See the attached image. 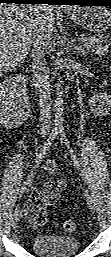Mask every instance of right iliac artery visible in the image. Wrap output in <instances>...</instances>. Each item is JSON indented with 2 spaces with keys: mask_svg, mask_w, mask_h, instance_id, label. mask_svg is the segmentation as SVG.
Returning a JSON list of instances; mask_svg holds the SVG:
<instances>
[{
  "mask_svg": "<svg viewBox=\"0 0 111 257\" xmlns=\"http://www.w3.org/2000/svg\"><path fill=\"white\" fill-rule=\"evenodd\" d=\"M58 135V129L54 128L51 133L49 134L47 140L44 142L43 147L41 148L39 154L37 155L36 159H35V165L34 168L38 167V165L40 164L42 158L44 157V155L46 154L47 150L50 148L53 140H55L56 136ZM33 177V172L30 173V175L28 176V181H30ZM22 201V195H20L18 197L17 200V204H16V208H18L21 204Z\"/></svg>",
  "mask_w": 111,
  "mask_h": 257,
  "instance_id": "obj_1",
  "label": "right iliac artery"
}]
</instances>
